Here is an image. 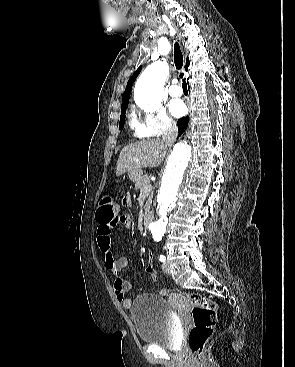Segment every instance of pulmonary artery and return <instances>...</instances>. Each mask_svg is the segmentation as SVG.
Here are the masks:
<instances>
[{"instance_id": "obj_1", "label": "pulmonary artery", "mask_w": 295, "mask_h": 367, "mask_svg": "<svg viewBox=\"0 0 295 367\" xmlns=\"http://www.w3.org/2000/svg\"><path fill=\"white\" fill-rule=\"evenodd\" d=\"M182 89L177 83L174 81L173 84L169 88V94L172 97H180L182 95Z\"/></svg>"}]
</instances>
